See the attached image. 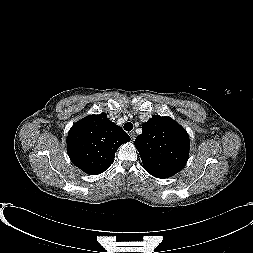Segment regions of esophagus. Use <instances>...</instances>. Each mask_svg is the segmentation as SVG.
I'll return each instance as SVG.
<instances>
[{
    "label": "esophagus",
    "instance_id": "esophagus-1",
    "mask_svg": "<svg viewBox=\"0 0 253 253\" xmlns=\"http://www.w3.org/2000/svg\"><path fill=\"white\" fill-rule=\"evenodd\" d=\"M129 136L131 137L132 140H134L136 137V134L134 131H131V132H129Z\"/></svg>",
    "mask_w": 253,
    "mask_h": 253
}]
</instances>
